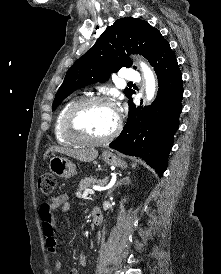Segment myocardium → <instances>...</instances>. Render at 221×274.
<instances>
[{
    "label": "myocardium",
    "mask_w": 221,
    "mask_h": 274,
    "mask_svg": "<svg viewBox=\"0 0 221 274\" xmlns=\"http://www.w3.org/2000/svg\"><path fill=\"white\" fill-rule=\"evenodd\" d=\"M96 104L111 106L116 111V122L113 129L106 136L99 138L87 136L80 130L78 126V117L81 112L86 108ZM121 124V116L111 99L104 96H92L79 99L68 108L63 118V131L68 138L75 141L76 143L96 145L111 141L119 133Z\"/></svg>",
    "instance_id": "f54148a6"
}]
</instances>
